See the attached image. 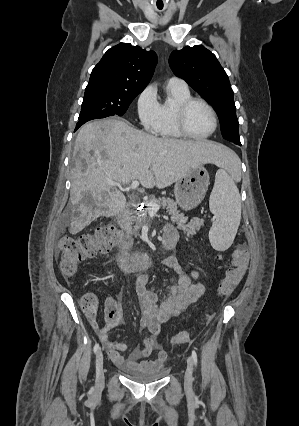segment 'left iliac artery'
<instances>
[{"instance_id":"left-iliac-artery-1","label":"left iliac artery","mask_w":299,"mask_h":426,"mask_svg":"<svg viewBox=\"0 0 299 426\" xmlns=\"http://www.w3.org/2000/svg\"><path fill=\"white\" fill-rule=\"evenodd\" d=\"M192 358H193L194 365L196 366L198 360H197V354L195 350L192 351Z\"/></svg>"}]
</instances>
